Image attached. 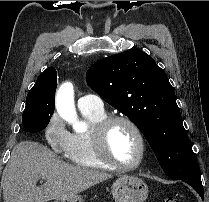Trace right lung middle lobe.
<instances>
[{"instance_id":"right-lung-middle-lobe-1","label":"right lung middle lobe","mask_w":209,"mask_h":202,"mask_svg":"<svg viewBox=\"0 0 209 202\" xmlns=\"http://www.w3.org/2000/svg\"><path fill=\"white\" fill-rule=\"evenodd\" d=\"M56 85L50 81L36 82L26 98L22 115L24 131H41L54 113Z\"/></svg>"}]
</instances>
